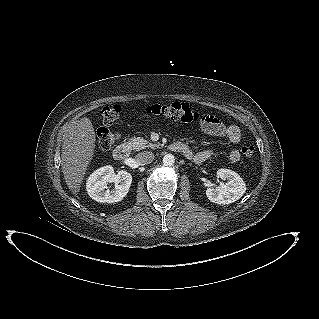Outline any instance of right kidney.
<instances>
[{
    "mask_svg": "<svg viewBox=\"0 0 319 319\" xmlns=\"http://www.w3.org/2000/svg\"><path fill=\"white\" fill-rule=\"evenodd\" d=\"M108 183H114L115 188L110 190ZM132 183V176L126 171L114 173L110 165L103 166L87 179L86 190L89 196L100 203H115L121 201L129 192Z\"/></svg>",
    "mask_w": 319,
    "mask_h": 319,
    "instance_id": "right-kidney-1",
    "label": "right kidney"
}]
</instances>
